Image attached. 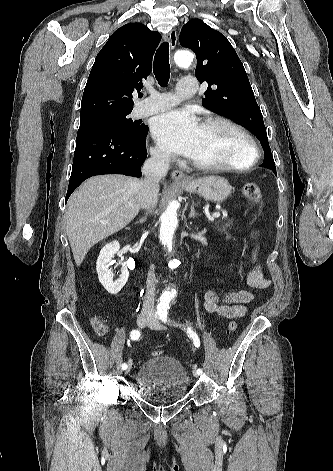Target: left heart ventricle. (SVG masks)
<instances>
[{"label":"left heart ventricle","instance_id":"left-heart-ventricle-1","mask_svg":"<svg viewBox=\"0 0 333 471\" xmlns=\"http://www.w3.org/2000/svg\"><path fill=\"white\" fill-rule=\"evenodd\" d=\"M249 155L242 136L224 124L200 126L192 159L206 164L241 163Z\"/></svg>","mask_w":333,"mask_h":471}]
</instances>
